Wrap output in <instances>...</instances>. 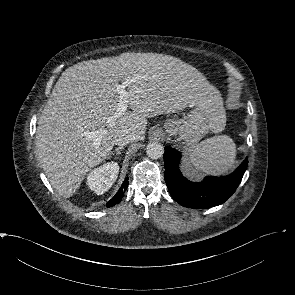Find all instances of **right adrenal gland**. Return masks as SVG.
Returning a JSON list of instances; mask_svg holds the SVG:
<instances>
[{
	"label": "right adrenal gland",
	"instance_id": "obj_1",
	"mask_svg": "<svg viewBox=\"0 0 295 295\" xmlns=\"http://www.w3.org/2000/svg\"><path fill=\"white\" fill-rule=\"evenodd\" d=\"M124 149V147H117V148H115V152H111L109 155H108V158H110L111 157V155H114V154H116L117 156H120V154H121V151Z\"/></svg>",
	"mask_w": 295,
	"mask_h": 295
}]
</instances>
